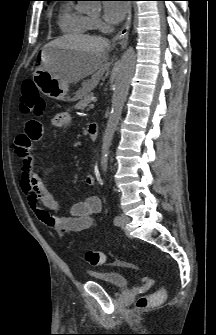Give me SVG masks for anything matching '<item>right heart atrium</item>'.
<instances>
[{"instance_id":"1","label":"right heart atrium","mask_w":216,"mask_h":335,"mask_svg":"<svg viewBox=\"0 0 216 335\" xmlns=\"http://www.w3.org/2000/svg\"><path fill=\"white\" fill-rule=\"evenodd\" d=\"M93 20V24H94V28L95 29H102L103 28V24L101 23V21L97 18L92 19Z\"/></svg>"}]
</instances>
